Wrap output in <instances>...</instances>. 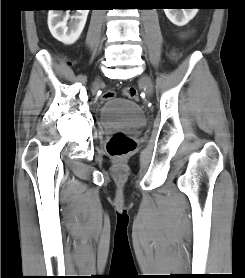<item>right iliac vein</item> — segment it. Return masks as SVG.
<instances>
[{"label": "right iliac vein", "instance_id": "obj_1", "mask_svg": "<svg viewBox=\"0 0 245 278\" xmlns=\"http://www.w3.org/2000/svg\"><path fill=\"white\" fill-rule=\"evenodd\" d=\"M99 82H100V81H99V80H97V81H96V85H97V84H99Z\"/></svg>", "mask_w": 245, "mask_h": 278}]
</instances>
